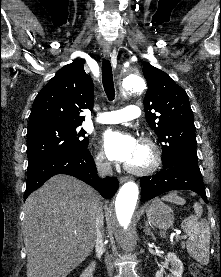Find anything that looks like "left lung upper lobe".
<instances>
[{
    "instance_id": "1",
    "label": "left lung upper lobe",
    "mask_w": 221,
    "mask_h": 277,
    "mask_svg": "<svg viewBox=\"0 0 221 277\" xmlns=\"http://www.w3.org/2000/svg\"><path fill=\"white\" fill-rule=\"evenodd\" d=\"M143 74L148 84L144 98L146 120L162 142L163 168L179 165L201 173L193 112L186 91L148 63Z\"/></svg>"
}]
</instances>
